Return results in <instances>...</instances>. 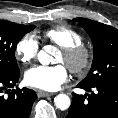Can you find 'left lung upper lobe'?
<instances>
[{
  "mask_svg": "<svg viewBox=\"0 0 118 118\" xmlns=\"http://www.w3.org/2000/svg\"><path fill=\"white\" fill-rule=\"evenodd\" d=\"M89 34L94 57L90 73L80 83L91 87L118 80V30L90 19L76 18Z\"/></svg>",
  "mask_w": 118,
  "mask_h": 118,
  "instance_id": "obj_1",
  "label": "left lung upper lobe"
}]
</instances>
